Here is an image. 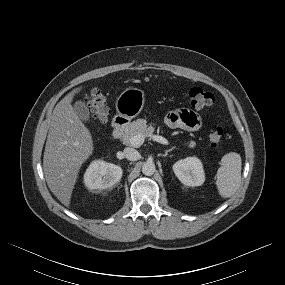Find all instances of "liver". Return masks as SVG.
<instances>
[{
  "mask_svg": "<svg viewBox=\"0 0 285 285\" xmlns=\"http://www.w3.org/2000/svg\"><path fill=\"white\" fill-rule=\"evenodd\" d=\"M81 87L72 90L55 106L45 145L43 169L50 191L66 207L82 164L93 153L90 131L71 102Z\"/></svg>",
  "mask_w": 285,
  "mask_h": 285,
  "instance_id": "6515ba94",
  "label": "liver"
}]
</instances>
